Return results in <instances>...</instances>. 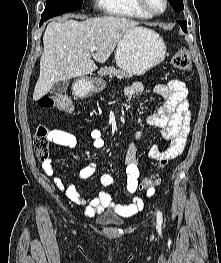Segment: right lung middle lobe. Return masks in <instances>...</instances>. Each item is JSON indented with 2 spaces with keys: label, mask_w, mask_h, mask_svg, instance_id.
I'll return each instance as SVG.
<instances>
[{
  "label": "right lung middle lobe",
  "mask_w": 221,
  "mask_h": 263,
  "mask_svg": "<svg viewBox=\"0 0 221 263\" xmlns=\"http://www.w3.org/2000/svg\"><path fill=\"white\" fill-rule=\"evenodd\" d=\"M83 0H47L41 19L48 20L52 17L72 12L82 6Z\"/></svg>",
  "instance_id": "obj_1"
}]
</instances>
